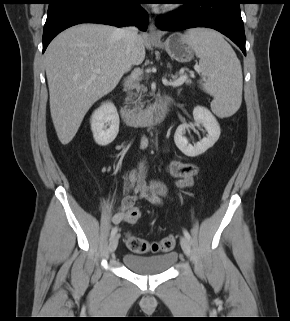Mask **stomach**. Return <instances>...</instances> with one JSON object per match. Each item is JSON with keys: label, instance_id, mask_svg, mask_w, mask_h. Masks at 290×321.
I'll return each instance as SVG.
<instances>
[{"label": "stomach", "instance_id": "0dacf381", "mask_svg": "<svg viewBox=\"0 0 290 321\" xmlns=\"http://www.w3.org/2000/svg\"><path fill=\"white\" fill-rule=\"evenodd\" d=\"M152 45L164 49L167 54L180 63H186L193 59L195 50L191 44L186 42L184 35L174 33L165 42L160 40L152 41Z\"/></svg>", "mask_w": 290, "mask_h": 321}]
</instances>
